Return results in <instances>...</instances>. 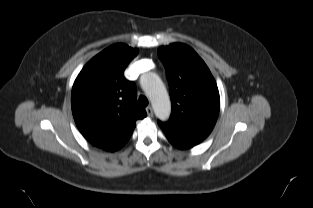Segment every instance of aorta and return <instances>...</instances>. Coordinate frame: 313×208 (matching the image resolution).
I'll return each mask as SVG.
<instances>
[{
	"label": "aorta",
	"instance_id": "1",
	"mask_svg": "<svg viewBox=\"0 0 313 208\" xmlns=\"http://www.w3.org/2000/svg\"><path fill=\"white\" fill-rule=\"evenodd\" d=\"M141 86L151 100L154 113L160 120H166L171 113V101L160 77L148 72L141 76Z\"/></svg>",
	"mask_w": 313,
	"mask_h": 208
}]
</instances>
